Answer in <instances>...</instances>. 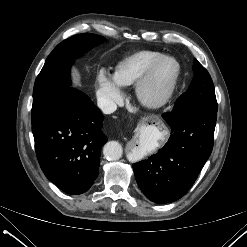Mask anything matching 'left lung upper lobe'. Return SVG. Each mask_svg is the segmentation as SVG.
Instances as JSON below:
<instances>
[{
    "label": "left lung upper lobe",
    "mask_w": 247,
    "mask_h": 247,
    "mask_svg": "<svg viewBox=\"0 0 247 247\" xmlns=\"http://www.w3.org/2000/svg\"><path fill=\"white\" fill-rule=\"evenodd\" d=\"M194 77L188 90L183 93L175 102L174 108L177 109L190 102L202 103L217 111V101L212 79L207 70L194 59Z\"/></svg>",
    "instance_id": "1"
}]
</instances>
